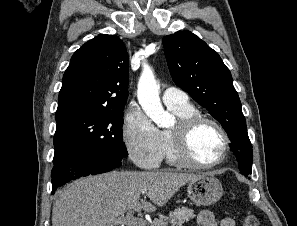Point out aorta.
Returning a JSON list of instances; mask_svg holds the SVG:
<instances>
[{"instance_id": "obj_1", "label": "aorta", "mask_w": 297, "mask_h": 226, "mask_svg": "<svg viewBox=\"0 0 297 226\" xmlns=\"http://www.w3.org/2000/svg\"><path fill=\"white\" fill-rule=\"evenodd\" d=\"M137 98L146 115L159 127L167 123L170 115L164 111L159 98V86L153 71L148 67L143 69L139 78Z\"/></svg>"}]
</instances>
